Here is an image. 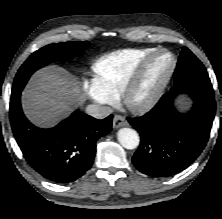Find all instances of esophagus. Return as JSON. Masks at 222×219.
<instances>
[{
	"instance_id": "34e87169",
	"label": "esophagus",
	"mask_w": 222,
	"mask_h": 219,
	"mask_svg": "<svg viewBox=\"0 0 222 219\" xmlns=\"http://www.w3.org/2000/svg\"><path fill=\"white\" fill-rule=\"evenodd\" d=\"M125 125V119L121 115H115L113 118V128H120Z\"/></svg>"
}]
</instances>
